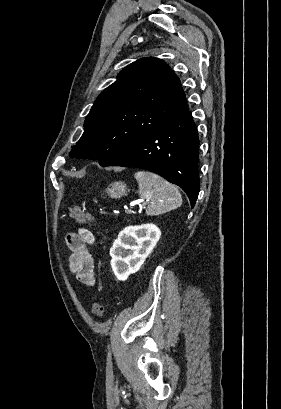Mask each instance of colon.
<instances>
[{"instance_id": "5ec220e1", "label": "colon", "mask_w": 281, "mask_h": 409, "mask_svg": "<svg viewBox=\"0 0 281 409\" xmlns=\"http://www.w3.org/2000/svg\"><path fill=\"white\" fill-rule=\"evenodd\" d=\"M69 215L71 218L84 223V224H91L92 216L82 210L78 206H73L69 209ZM104 314V305L100 300H96L93 303V315L97 320H101Z\"/></svg>"}]
</instances>
